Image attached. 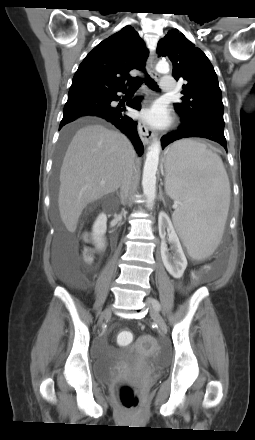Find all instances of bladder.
I'll use <instances>...</instances> for the list:
<instances>
[{"instance_id":"1","label":"bladder","mask_w":255,"mask_h":440,"mask_svg":"<svg viewBox=\"0 0 255 440\" xmlns=\"http://www.w3.org/2000/svg\"><path fill=\"white\" fill-rule=\"evenodd\" d=\"M157 356L147 352V343L139 339L136 345L95 360L94 372L99 381L108 382L123 364H142L156 369Z\"/></svg>"}]
</instances>
